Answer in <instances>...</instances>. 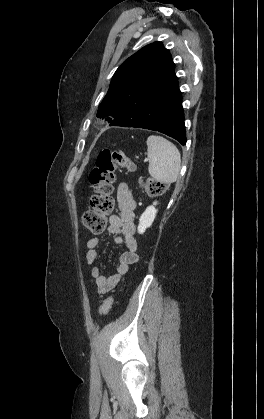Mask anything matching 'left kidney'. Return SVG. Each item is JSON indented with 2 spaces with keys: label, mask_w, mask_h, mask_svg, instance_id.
Masks as SVG:
<instances>
[{
  "label": "left kidney",
  "mask_w": 264,
  "mask_h": 419,
  "mask_svg": "<svg viewBox=\"0 0 264 419\" xmlns=\"http://www.w3.org/2000/svg\"><path fill=\"white\" fill-rule=\"evenodd\" d=\"M156 204L157 202H154L152 206L147 207L143 214L140 216L138 233L143 234L145 230L152 225L157 213V210L154 207Z\"/></svg>",
  "instance_id": "1"
}]
</instances>
